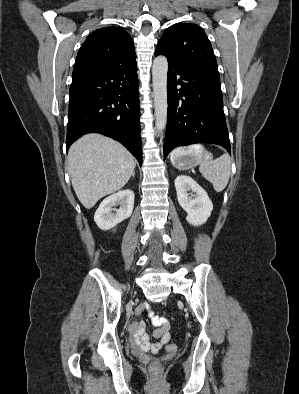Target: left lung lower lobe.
Here are the masks:
<instances>
[{
    "label": "left lung lower lobe",
    "mask_w": 299,
    "mask_h": 394,
    "mask_svg": "<svg viewBox=\"0 0 299 394\" xmlns=\"http://www.w3.org/2000/svg\"><path fill=\"white\" fill-rule=\"evenodd\" d=\"M164 158L178 146L212 143L230 153L217 67L169 64Z\"/></svg>",
    "instance_id": "obj_1"
}]
</instances>
